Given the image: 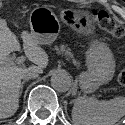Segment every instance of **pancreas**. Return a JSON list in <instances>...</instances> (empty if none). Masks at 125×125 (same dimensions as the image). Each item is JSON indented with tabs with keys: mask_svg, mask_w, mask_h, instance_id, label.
Segmentation results:
<instances>
[{
	"mask_svg": "<svg viewBox=\"0 0 125 125\" xmlns=\"http://www.w3.org/2000/svg\"><path fill=\"white\" fill-rule=\"evenodd\" d=\"M55 50L58 54H64L68 59L73 58V54L71 53L70 49L66 48V46L61 45L60 47H55ZM74 64H77L75 60H73Z\"/></svg>",
	"mask_w": 125,
	"mask_h": 125,
	"instance_id": "1",
	"label": "pancreas"
}]
</instances>
